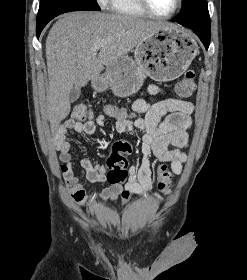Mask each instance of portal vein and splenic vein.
Instances as JSON below:
<instances>
[{
	"label": "portal vein and splenic vein",
	"instance_id": "portal-vein-and-splenic-vein-1",
	"mask_svg": "<svg viewBox=\"0 0 247 280\" xmlns=\"http://www.w3.org/2000/svg\"><path fill=\"white\" fill-rule=\"evenodd\" d=\"M102 47V44H97V45H95V50H99L100 48Z\"/></svg>",
	"mask_w": 247,
	"mask_h": 280
}]
</instances>
